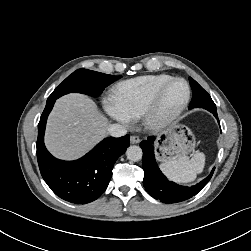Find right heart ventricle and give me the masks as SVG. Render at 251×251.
Returning <instances> with one entry per match:
<instances>
[{
  "mask_svg": "<svg viewBox=\"0 0 251 251\" xmlns=\"http://www.w3.org/2000/svg\"><path fill=\"white\" fill-rule=\"evenodd\" d=\"M173 77L167 74L140 76L119 83L114 98L119 107L132 119L139 118L155 91Z\"/></svg>",
  "mask_w": 251,
  "mask_h": 251,
  "instance_id": "1",
  "label": "right heart ventricle"
}]
</instances>
